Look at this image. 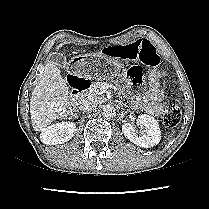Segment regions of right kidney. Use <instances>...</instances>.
<instances>
[{"mask_svg": "<svg viewBox=\"0 0 209 209\" xmlns=\"http://www.w3.org/2000/svg\"><path fill=\"white\" fill-rule=\"evenodd\" d=\"M76 131V124L73 122L55 123L41 131L40 139L46 145L63 144L69 141Z\"/></svg>", "mask_w": 209, "mask_h": 209, "instance_id": "right-kidney-1", "label": "right kidney"}]
</instances>
